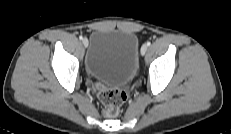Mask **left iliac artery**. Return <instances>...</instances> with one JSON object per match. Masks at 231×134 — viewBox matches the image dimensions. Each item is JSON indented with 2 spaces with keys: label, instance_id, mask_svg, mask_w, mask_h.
Segmentation results:
<instances>
[{
  "label": "left iliac artery",
  "instance_id": "1",
  "mask_svg": "<svg viewBox=\"0 0 231 134\" xmlns=\"http://www.w3.org/2000/svg\"><path fill=\"white\" fill-rule=\"evenodd\" d=\"M146 45H147V46H150V45H151V42H150V41H148V42L146 43Z\"/></svg>",
  "mask_w": 231,
  "mask_h": 134
}]
</instances>
